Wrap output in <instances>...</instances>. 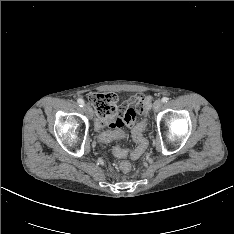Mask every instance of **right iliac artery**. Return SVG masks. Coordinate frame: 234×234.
<instances>
[{
    "label": "right iliac artery",
    "instance_id": "right-iliac-artery-1",
    "mask_svg": "<svg viewBox=\"0 0 234 234\" xmlns=\"http://www.w3.org/2000/svg\"><path fill=\"white\" fill-rule=\"evenodd\" d=\"M77 102L79 103V105H80L81 107L84 106V100H83V99L79 98V99L77 100Z\"/></svg>",
    "mask_w": 234,
    "mask_h": 234
}]
</instances>
